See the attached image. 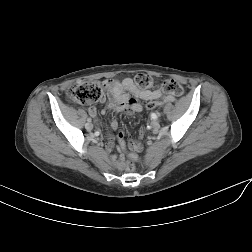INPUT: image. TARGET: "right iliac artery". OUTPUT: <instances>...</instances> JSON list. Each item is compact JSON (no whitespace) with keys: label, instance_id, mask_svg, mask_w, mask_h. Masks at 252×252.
I'll use <instances>...</instances> for the list:
<instances>
[{"label":"right iliac artery","instance_id":"1","mask_svg":"<svg viewBox=\"0 0 252 252\" xmlns=\"http://www.w3.org/2000/svg\"><path fill=\"white\" fill-rule=\"evenodd\" d=\"M93 136H94L95 138H98V137L100 136V132H99V131H95V132L93 133Z\"/></svg>","mask_w":252,"mask_h":252}]
</instances>
